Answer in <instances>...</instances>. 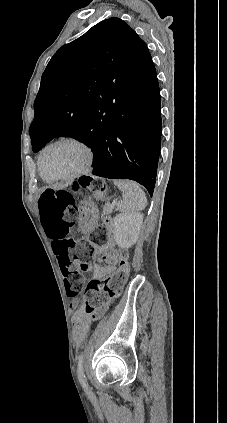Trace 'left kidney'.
<instances>
[{
	"instance_id": "left-kidney-1",
	"label": "left kidney",
	"mask_w": 227,
	"mask_h": 423,
	"mask_svg": "<svg viewBox=\"0 0 227 423\" xmlns=\"http://www.w3.org/2000/svg\"><path fill=\"white\" fill-rule=\"evenodd\" d=\"M143 213H117L113 219L114 237L119 247H131L138 239Z\"/></svg>"
}]
</instances>
